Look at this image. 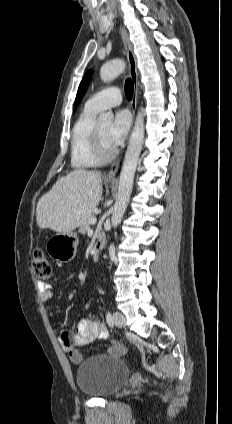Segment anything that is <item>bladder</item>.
Here are the masks:
<instances>
[{"label":"bladder","mask_w":232,"mask_h":424,"mask_svg":"<svg viewBox=\"0 0 232 424\" xmlns=\"http://www.w3.org/2000/svg\"><path fill=\"white\" fill-rule=\"evenodd\" d=\"M129 375L130 369L123 360L97 355L87 358L77 368L76 382L84 395L106 398L117 393Z\"/></svg>","instance_id":"1"}]
</instances>
